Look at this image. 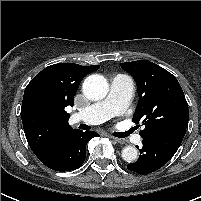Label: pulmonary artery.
Masks as SVG:
<instances>
[{
	"instance_id": "1",
	"label": "pulmonary artery",
	"mask_w": 201,
	"mask_h": 201,
	"mask_svg": "<svg viewBox=\"0 0 201 201\" xmlns=\"http://www.w3.org/2000/svg\"><path fill=\"white\" fill-rule=\"evenodd\" d=\"M134 93L133 80L125 74H116L110 82L108 96L101 102L95 103L81 112L71 115L73 123L100 124L108 119L120 115L130 103ZM136 136L135 141H140Z\"/></svg>"
}]
</instances>
